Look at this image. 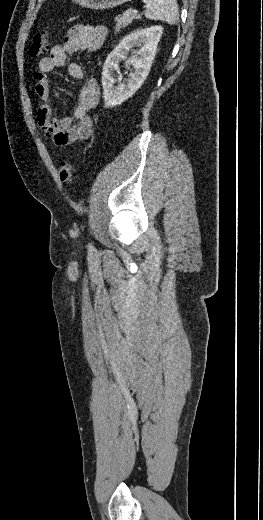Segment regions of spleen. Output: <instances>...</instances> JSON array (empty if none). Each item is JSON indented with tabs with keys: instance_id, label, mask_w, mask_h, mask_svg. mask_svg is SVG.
Masks as SVG:
<instances>
[{
	"instance_id": "1",
	"label": "spleen",
	"mask_w": 263,
	"mask_h": 520,
	"mask_svg": "<svg viewBox=\"0 0 263 520\" xmlns=\"http://www.w3.org/2000/svg\"><path fill=\"white\" fill-rule=\"evenodd\" d=\"M148 6L145 17L151 20H161L174 25L178 19V5L176 0H143Z\"/></svg>"
}]
</instances>
